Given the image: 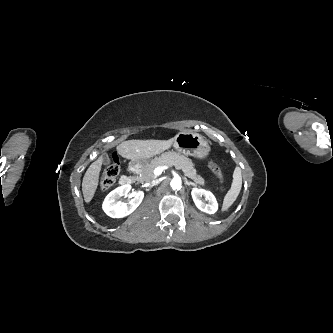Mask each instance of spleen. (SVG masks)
I'll return each mask as SVG.
<instances>
[{"mask_svg":"<svg viewBox=\"0 0 333 333\" xmlns=\"http://www.w3.org/2000/svg\"><path fill=\"white\" fill-rule=\"evenodd\" d=\"M242 187V174L241 169L236 167L233 172V181L231 188L224 196L222 211H227L236 201Z\"/></svg>","mask_w":333,"mask_h":333,"instance_id":"spleen-1","label":"spleen"}]
</instances>
